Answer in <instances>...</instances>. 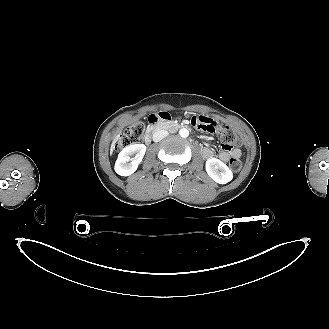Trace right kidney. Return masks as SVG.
<instances>
[{
	"instance_id": "right-kidney-1",
	"label": "right kidney",
	"mask_w": 329,
	"mask_h": 329,
	"mask_svg": "<svg viewBox=\"0 0 329 329\" xmlns=\"http://www.w3.org/2000/svg\"><path fill=\"white\" fill-rule=\"evenodd\" d=\"M146 152V146L144 144H132L125 147L118 155L115 163V171L121 176H129L133 174L139 164L141 163ZM136 154L135 158L130 161V155Z\"/></svg>"
}]
</instances>
